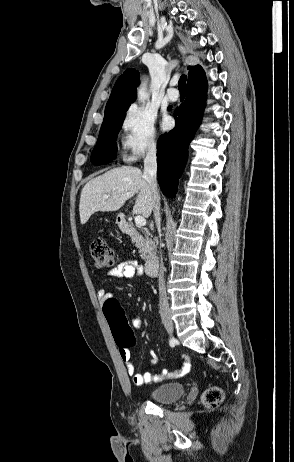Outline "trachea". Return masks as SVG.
Instances as JSON below:
<instances>
[{
  "label": "trachea",
  "instance_id": "3493384b",
  "mask_svg": "<svg viewBox=\"0 0 294 462\" xmlns=\"http://www.w3.org/2000/svg\"><path fill=\"white\" fill-rule=\"evenodd\" d=\"M186 80H187V76L186 75H182L180 77V80H179V83H178V88L180 91H184L185 92V83H186Z\"/></svg>",
  "mask_w": 294,
  "mask_h": 462
}]
</instances>
